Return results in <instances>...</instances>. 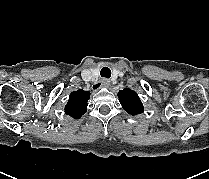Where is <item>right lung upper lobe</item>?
<instances>
[{
	"mask_svg": "<svg viewBox=\"0 0 209 179\" xmlns=\"http://www.w3.org/2000/svg\"><path fill=\"white\" fill-rule=\"evenodd\" d=\"M89 96L90 92L82 89L72 92L65 106V113L74 119H79L87 111Z\"/></svg>",
	"mask_w": 209,
	"mask_h": 179,
	"instance_id": "right-lung-upper-lobe-1",
	"label": "right lung upper lobe"
}]
</instances>
